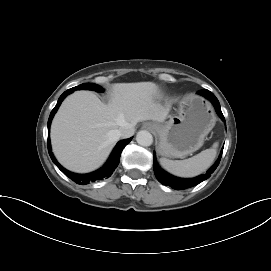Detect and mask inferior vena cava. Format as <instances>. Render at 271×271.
I'll use <instances>...</instances> for the list:
<instances>
[{
	"label": "inferior vena cava",
	"mask_w": 271,
	"mask_h": 271,
	"mask_svg": "<svg viewBox=\"0 0 271 271\" xmlns=\"http://www.w3.org/2000/svg\"><path fill=\"white\" fill-rule=\"evenodd\" d=\"M135 128L133 124L126 123L124 126L120 127L116 133L118 137L129 138L134 135Z\"/></svg>",
	"instance_id": "obj_1"
}]
</instances>
